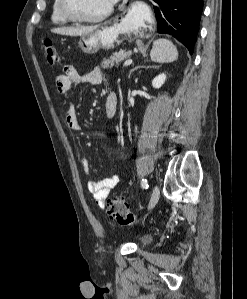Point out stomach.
I'll return each mask as SVG.
<instances>
[{
	"mask_svg": "<svg viewBox=\"0 0 247 299\" xmlns=\"http://www.w3.org/2000/svg\"><path fill=\"white\" fill-rule=\"evenodd\" d=\"M127 34L122 23L108 21L98 26L96 30L83 35L79 40V48L86 54L97 53L100 49H113L117 47Z\"/></svg>",
	"mask_w": 247,
	"mask_h": 299,
	"instance_id": "stomach-1",
	"label": "stomach"
}]
</instances>
